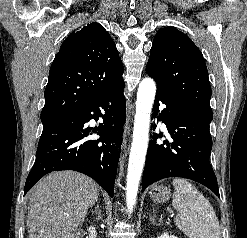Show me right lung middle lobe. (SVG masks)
Here are the masks:
<instances>
[{
  "label": "right lung middle lobe",
  "instance_id": "right-lung-middle-lobe-1",
  "mask_svg": "<svg viewBox=\"0 0 247 238\" xmlns=\"http://www.w3.org/2000/svg\"><path fill=\"white\" fill-rule=\"evenodd\" d=\"M59 118H57V119H51V120H44V121H42V123H43V127H46V126H48V125H50V124H52V123H54L55 121H57Z\"/></svg>",
  "mask_w": 247,
  "mask_h": 238
}]
</instances>
